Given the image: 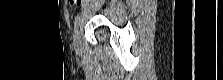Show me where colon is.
I'll return each instance as SVG.
<instances>
[{"label": "colon", "instance_id": "5ec220e1", "mask_svg": "<svg viewBox=\"0 0 223 80\" xmlns=\"http://www.w3.org/2000/svg\"><path fill=\"white\" fill-rule=\"evenodd\" d=\"M70 5L79 6L82 3V0H69Z\"/></svg>", "mask_w": 223, "mask_h": 80}]
</instances>
